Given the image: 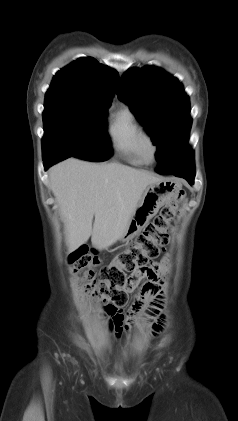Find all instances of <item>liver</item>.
Listing matches in <instances>:
<instances>
[{"mask_svg": "<svg viewBox=\"0 0 238 421\" xmlns=\"http://www.w3.org/2000/svg\"><path fill=\"white\" fill-rule=\"evenodd\" d=\"M49 179L69 250L85 244L90 236L100 249L113 245L123 235L146 188L162 180L119 163L97 164L76 158L52 167Z\"/></svg>", "mask_w": 238, "mask_h": 421, "instance_id": "obj_1", "label": "liver"}]
</instances>
